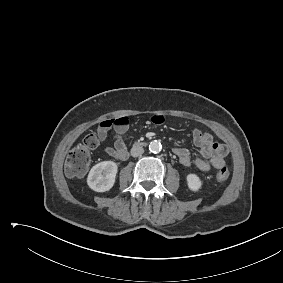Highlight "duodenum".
<instances>
[{
    "instance_id": "duodenum-1",
    "label": "duodenum",
    "mask_w": 283,
    "mask_h": 283,
    "mask_svg": "<svg viewBox=\"0 0 283 283\" xmlns=\"http://www.w3.org/2000/svg\"><path fill=\"white\" fill-rule=\"evenodd\" d=\"M137 145H142V143H138Z\"/></svg>"
}]
</instances>
